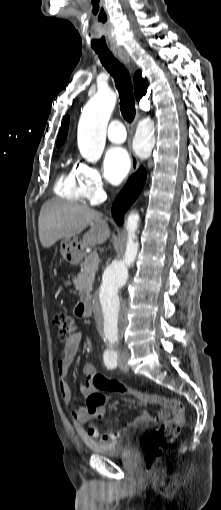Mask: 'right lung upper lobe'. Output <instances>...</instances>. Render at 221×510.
<instances>
[{
  "instance_id": "obj_1",
  "label": "right lung upper lobe",
  "mask_w": 221,
  "mask_h": 510,
  "mask_svg": "<svg viewBox=\"0 0 221 510\" xmlns=\"http://www.w3.org/2000/svg\"><path fill=\"white\" fill-rule=\"evenodd\" d=\"M147 85H148L147 80L142 78L140 71H137L134 76V92H135V97L137 100H139L140 98H142L143 96L146 95ZM68 125H69V116H67L64 119L62 126L60 128L59 135L57 138V146L58 147L61 146L66 139Z\"/></svg>"
}]
</instances>
